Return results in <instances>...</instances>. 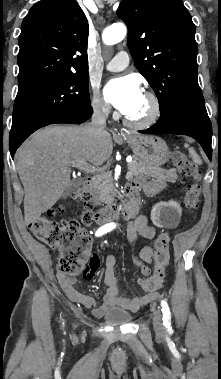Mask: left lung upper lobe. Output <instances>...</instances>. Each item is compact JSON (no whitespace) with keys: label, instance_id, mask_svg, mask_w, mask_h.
Listing matches in <instances>:
<instances>
[{"label":"left lung upper lobe","instance_id":"5c2ea615","mask_svg":"<svg viewBox=\"0 0 221 379\" xmlns=\"http://www.w3.org/2000/svg\"><path fill=\"white\" fill-rule=\"evenodd\" d=\"M117 15L128 27L135 66L159 100L205 111L197 80L195 25L182 0H122Z\"/></svg>","mask_w":221,"mask_h":379}]
</instances>
